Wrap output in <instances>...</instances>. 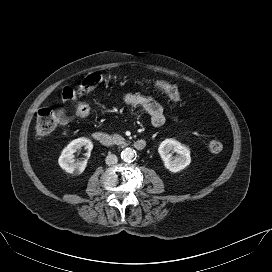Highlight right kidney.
Returning a JSON list of instances; mask_svg holds the SVG:
<instances>
[{
  "mask_svg": "<svg viewBox=\"0 0 272 272\" xmlns=\"http://www.w3.org/2000/svg\"><path fill=\"white\" fill-rule=\"evenodd\" d=\"M84 147L87 150L86 156L90 157V153L93 149L91 140L87 138H78L70 142L62 151L58 163L60 167L67 173L73 175H80L86 168L87 160L83 162L76 161L74 159V153Z\"/></svg>",
  "mask_w": 272,
  "mask_h": 272,
  "instance_id": "1",
  "label": "right kidney"
}]
</instances>
